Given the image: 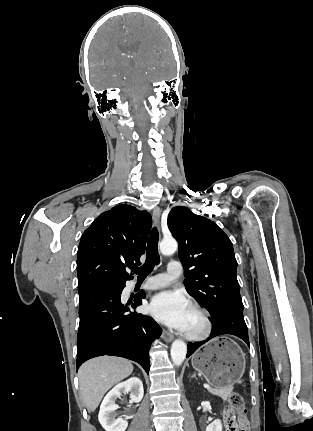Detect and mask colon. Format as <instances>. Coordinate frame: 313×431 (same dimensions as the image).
Wrapping results in <instances>:
<instances>
[{
    "label": "colon",
    "instance_id": "5ec220e1",
    "mask_svg": "<svg viewBox=\"0 0 313 431\" xmlns=\"http://www.w3.org/2000/svg\"><path fill=\"white\" fill-rule=\"evenodd\" d=\"M246 406L243 397L234 392L229 396L228 406L224 411L227 431H248V423L244 420Z\"/></svg>",
    "mask_w": 313,
    "mask_h": 431
}]
</instances>
